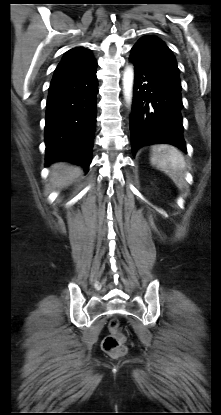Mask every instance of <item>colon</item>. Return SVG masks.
Returning <instances> with one entry per match:
<instances>
[{
  "instance_id": "5ec220e1",
  "label": "colon",
  "mask_w": 221,
  "mask_h": 415,
  "mask_svg": "<svg viewBox=\"0 0 221 415\" xmlns=\"http://www.w3.org/2000/svg\"><path fill=\"white\" fill-rule=\"evenodd\" d=\"M109 330L110 335L105 337L102 342L103 350L112 356H120L124 354L126 351V348L123 344L124 336L118 329V321L116 319H112L110 321Z\"/></svg>"
}]
</instances>
